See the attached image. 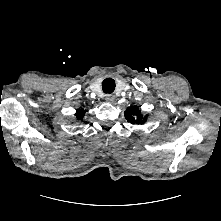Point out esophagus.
I'll return each mask as SVG.
<instances>
[{"label":"esophagus","mask_w":221,"mask_h":221,"mask_svg":"<svg viewBox=\"0 0 221 221\" xmlns=\"http://www.w3.org/2000/svg\"><path fill=\"white\" fill-rule=\"evenodd\" d=\"M114 99H115V96H114V95H112V94H107V95H106V100H107L108 102H113Z\"/></svg>","instance_id":"34e87169"}]
</instances>
